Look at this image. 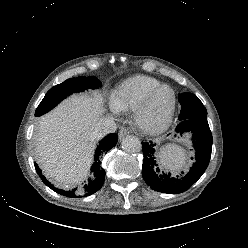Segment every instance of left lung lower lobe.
Returning a JSON list of instances; mask_svg holds the SVG:
<instances>
[{
  "label": "left lung lower lobe",
  "mask_w": 248,
  "mask_h": 248,
  "mask_svg": "<svg viewBox=\"0 0 248 248\" xmlns=\"http://www.w3.org/2000/svg\"><path fill=\"white\" fill-rule=\"evenodd\" d=\"M179 120L181 122L177 125L176 132L181 136L190 132L196 151V162L183 178L172 177L171 173H162L156 161L155 144L142 142L144 154L142 176L146 184L158 192L177 194L188 190L202 176L210 161L212 134L206 115L201 114L191 118L179 117Z\"/></svg>",
  "instance_id": "1"
}]
</instances>
